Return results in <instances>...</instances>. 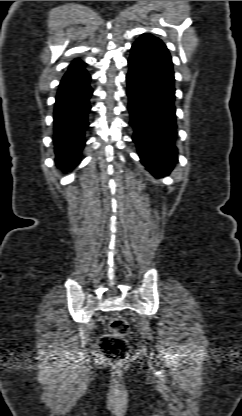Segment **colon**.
<instances>
[{"mask_svg": "<svg viewBox=\"0 0 242 416\" xmlns=\"http://www.w3.org/2000/svg\"><path fill=\"white\" fill-rule=\"evenodd\" d=\"M110 331L98 341L99 349L112 361H123L129 354L130 347L126 336L130 333L128 322L121 316L114 317L109 324Z\"/></svg>", "mask_w": 242, "mask_h": 416, "instance_id": "5ec220e1", "label": "colon"}]
</instances>
